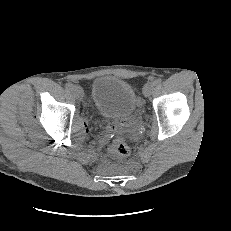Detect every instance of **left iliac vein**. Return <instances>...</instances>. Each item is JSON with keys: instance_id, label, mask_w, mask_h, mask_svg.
I'll list each match as a JSON object with an SVG mask.
<instances>
[{"instance_id": "1", "label": "left iliac vein", "mask_w": 231, "mask_h": 231, "mask_svg": "<svg viewBox=\"0 0 231 231\" xmlns=\"http://www.w3.org/2000/svg\"><path fill=\"white\" fill-rule=\"evenodd\" d=\"M154 87H155V85L153 82L146 83L144 88H143V94L146 97H149L153 93Z\"/></svg>"}]
</instances>
